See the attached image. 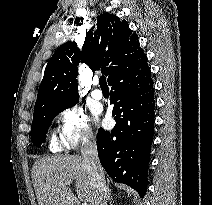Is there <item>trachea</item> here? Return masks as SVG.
Returning a JSON list of instances; mask_svg holds the SVG:
<instances>
[{"label": "trachea", "mask_w": 212, "mask_h": 205, "mask_svg": "<svg viewBox=\"0 0 212 205\" xmlns=\"http://www.w3.org/2000/svg\"><path fill=\"white\" fill-rule=\"evenodd\" d=\"M99 84H100L101 88H108L105 76H101L99 78Z\"/></svg>", "instance_id": "obj_1"}]
</instances>
